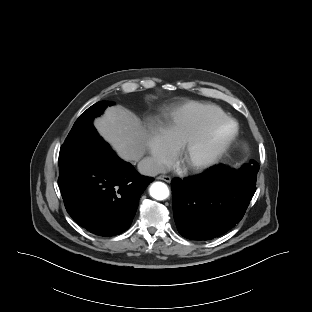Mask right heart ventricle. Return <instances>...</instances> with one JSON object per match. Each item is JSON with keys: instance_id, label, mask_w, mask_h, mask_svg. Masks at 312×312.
Wrapping results in <instances>:
<instances>
[{"instance_id": "right-heart-ventricle-1", "label": "right heart ventricle", "mask_w": 312, "mask_h": 312, "mask_svg": "<svg viewBox=\"0 0 312 312\" xmlns=\"http://www.w3.org/2000/svg\"><path fill=\"white\" fill-rule=\"evenodd\" d=\"M226 117L225 111L217 105L189 102L168 113L162 125L169 140L179 147L213 122Z\"/></svg>"}]
</instances>
